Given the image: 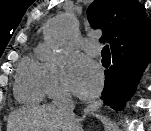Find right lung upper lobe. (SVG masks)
Returning a JSON list of instances; mask_svg holds the SVG:
<instances>
[{"instance_id": "cb5924a9", "label": "right lung upper lobe", "mask_w": 151, "mask_h": 131, "mask_svg": "<svg viewBox=\"0 0 151 131\" xmlns=\"http://www.w3.org/2000/svg\"><path fill=\"white\" fill-rule=\"evenodd\" d=\"M87 15L93 28L103 30L100 41L108 42L112 53L128 47L143 53L151 49V20L138 0H95Z\"/></svg>"}]
</instances>
